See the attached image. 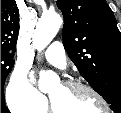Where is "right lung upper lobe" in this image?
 I'll use <instances>...</instances> for the list:
<instances>
[{
    "label": "right lung upper lobe",
    "instance_id": "cb5924a9",
    "mask_svg": "<svg viewBox=\"0 0 121 113\" xmlns=\"http://www.w3.org/2000/svg\"><path fill=\"white\" fill-rule=\"evenodd\" d=\"M19 33V10L15 0H1V52H15Z\"/></svg>",
    "mask_w": 121,
    "mask_h": 113
}]
</instances>
